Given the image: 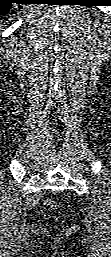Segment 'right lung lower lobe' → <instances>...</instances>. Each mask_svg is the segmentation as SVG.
Listing matches in <instances>:
<instances>
[{"instance_id": "right-lung-lower-lobe-1", "label": "right lung lower lobe", "mask_w": 111, "mask_h": 257, "mask_svg": "<svg viewBox=\"0 0 111 257\" xmlns=\"http://www.w3.org/2000/svg\"><path fill=\"white\" fill-rule=\"evenodd\" d=\"M12 3H21L19 0H0L1 15H5L11 8Z\"/></svg>"}]
</instances>
